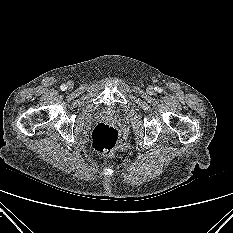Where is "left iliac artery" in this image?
<instances>
[{"mask_svg":"<svg viewBox=\"0 0 233 233\" xmlns=\"http://www.w3.org/2000/svg\"><path fill=\"white\" fill-rule=\"evenodd\" d=\"M158 91H159V92H161V91H162V89H158Z\"/></svg>","mask_w":233,"mask_h":233,"instance_id":"1","label":"left iliac artery"}]
</instances>
